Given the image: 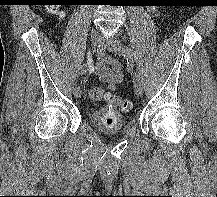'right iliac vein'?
I'll list each match as a JSON object with an SVG mask.
<instances>
[{
    "instance_id": "63e3f726",
    "label": "right iliac vein",
    "mask_w": 217,
    "mask_h": 197,
    "mask_svg": "<svg viewBox=\"0 0 217 197\" xmlns=\"http://www.w3.org/2000/svg\"><path fill=\"white\" fill-rule=\"evenodd\" d=\"M99 40H100L99 32L96 29H93L91 32V41L93 45L97 46ZM73 93L76 98H79L81 96V88L79 86L75 87Z\"/></svg>"
}]
</instances>
